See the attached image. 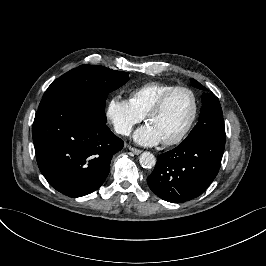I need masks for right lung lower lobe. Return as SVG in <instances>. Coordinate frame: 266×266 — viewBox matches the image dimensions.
Segmentation results:
<instances>
[{
  "instance_id": "1",
  "label": "right lung lower lobe",
  "mask_w": 266,
  "mask_h": 266,
  "mask_svg": "<svg viewBox=\"0 0 266 266\" xmlns=\"http://www.w3.org/2000/svg\"><path fill=\"white\" fill-rule=\"evenodd\" d=\"M32 134L41 173L54 189L73 198L103 184L112 156L124 146L91 106L70 99L39 109Z\"/></svg>"
}]
</instances>
